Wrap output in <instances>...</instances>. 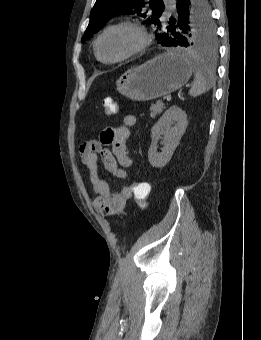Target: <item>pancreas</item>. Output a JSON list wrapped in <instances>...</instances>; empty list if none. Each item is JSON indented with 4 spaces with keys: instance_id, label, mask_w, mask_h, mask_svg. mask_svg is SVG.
Masks as SVG:
<instances>
[{
    "instance_id": "obj_1",
    "label": "pancreas",
    "mask_w": 261,
    "mask_h": 340,
    "mask_svg": "<svg viewBox=\"0 0 261 340\" xmlns=\"http://www.w3.org/2000/svg\"><path fill=\"white\" fill-rule=\"evenodd\" d=\"M163 109H164V104L160 100L152 104L150 107V117L155 118L156 115L160 114L163 111Z\"/></svg>"
}]
</instances>
